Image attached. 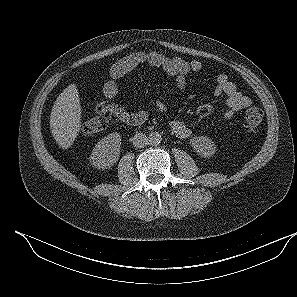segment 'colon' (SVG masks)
I'll list each match as a JSON object with an SVG mask.
<instances>
[{"label":"colon","mask_w":297,"mask_h":297,"mask_svg":"<svg viewBox=\"0 0 297 297\" xmlns=\"http://www.w3.org/2000/svg\"><path fill=\"white\" fill-rule=\"evenodd\" d=\"M263 120V112L258 107L248 108L243 116V127L247 131H255ZM112 122V117L99 113L98 116L85 121L81 130L84 134H99L106 130L108 125Z\"/></svg>","instance_id":"obj_1"}]
</instances>
